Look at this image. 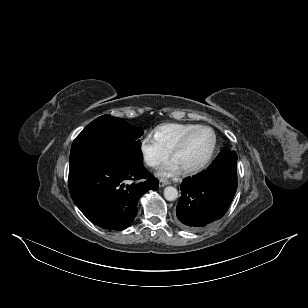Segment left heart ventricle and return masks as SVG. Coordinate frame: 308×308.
Listing matches in <instances>:
<instances>
[{"instance_id": "b2bd125f", "label": "left heart ventricle", "mask_w": 308, "mask_h": 308, "mask_svg": "<svg viewBox=\"0 0 308 308\" xmlns=\"http://www.w3.org/2000/svg\"><path fill=\"white\" fill-rule=\"evenodd\" d=\"M213 145V135L209 131L195 134L187 145L174 155L173 159L181 169H187L200 164L209 154Z\"/></svg>"}]
</instances>
